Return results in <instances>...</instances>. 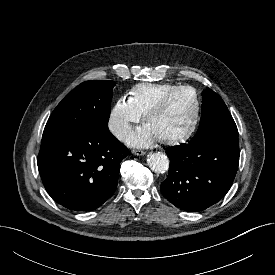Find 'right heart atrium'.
Returning <instances> with one entry per match:
<instances>
[{
  "label": "right heart atrium",
  "instance_id": "obj_1",
  "mask_svg": "<svg viewBox=\"0 0 275 275\" xmlns=\"http://www.w3.org/2000/svg\"><path fill=\"white\" fill-rule=\"evenodd\" d=\"M141 118L142 115L133 107L129 98L120 97L111 109L108 126L111 133L122 140Z\"/></svg>",
  "mask_w": 275,
  "mask_h": 275
}]
</instances>
